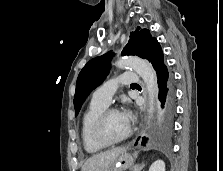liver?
<instances>
[{"instance_id": "6515ba94", "label": "liver", "mask_w": 223, "mask_h": 171, "mask_svg": "<svg viewBox=\"0 0 223 171\" xmlns=\"http://www.w3.org/2000/svg\"><path fill=\"white\" fill-rule=\"evenodd\" d=\"M125 151V148L119 147L96 154L84 163L81 171H105Z\"/></svg>"}]
</instances>
